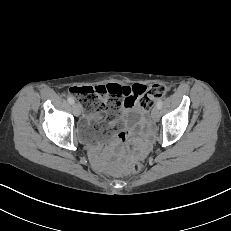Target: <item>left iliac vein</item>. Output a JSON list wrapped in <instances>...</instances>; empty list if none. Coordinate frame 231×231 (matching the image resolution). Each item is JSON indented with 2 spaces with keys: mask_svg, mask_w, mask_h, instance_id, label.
<instances>
[{
  "mask_svg": "<svg viewBox=\"0 0 231 231\" xmlns=\"http://www.w3.org/2000/svg\"><path fill=\"white\" fill-rule=\"evenodd\" d=\"M151 117L154 121H158L160 118V110L158 107H154L151 112Z\"/></svg>",
  "mask_w": 231,
  "mask_h": 231,
  "instance_id": "4c4485c4",
  "label": "left iliac vein"
}]
</instances>
